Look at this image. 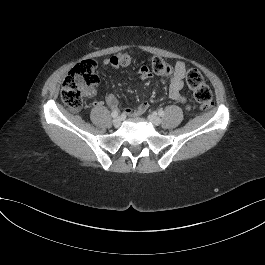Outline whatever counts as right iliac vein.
Wrapping results in <instances>:
<instances>
[{
    "instance_id": "obj_1",
    "label": "right iliac vein",
    "mask_w": 265,
    "mask_h": 265,
    "mask_svg": "<svg viewBox=\"0 0 265 265\" xmlns=\"http://www.w3.org/2000/svg\"><path fill=\"white\" fill-rule=\"evenodd\" d=\"M121 121H122V119H121V117H116L114 120H113V125L115 126V127H119L120 126V124H121Z\"/></svg>"
}]
</instances>
